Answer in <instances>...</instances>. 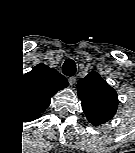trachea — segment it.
Instances as JSON below:
<instances>
[{
	"label": "trachea",
	"mask_w": 135,
	"mask_h": 153,
	"mask_svg": "<svg viewBox=\"0 0 135 153\" xmlns=\"http://www.w3.org/2000/svg\"><path fill=\"white\" fill-rule=\"evenodd\" d=\"M76 72V64L74 60L67 59L63 64V73L67 76H73Z\"/></svg>",
	"instance_id": "trachea-1"
}]
</instances>
